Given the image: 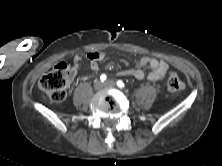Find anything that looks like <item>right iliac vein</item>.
<instances>
[{
    "mask_svg": "<svg viewBox=\"0 0 222 166\" xmlns=\"http://www.w3.org/2000/svg\"><path fill=\"white\" fill-rule=\"evenodd\" d=\"M103 87H104V84L100 80H98L94 83V88L96 90H101V89H103Z\"/></svg>",
    "mask_w": 222,
    "mask_h": 166,
    "instance_id": "obj_1",
    "label": "right iliac vein"
}]
</instances>
